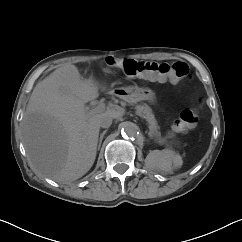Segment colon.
Here are the masks:
<instances>
[{"instance_id": "1", "label": "colon", "mask_w": 242, "mask_h": 242, "mask_svg": "<svg viewBox=\"0 0 242 242\" xmlns=\"http://www.w3.org/2000/svg\"><path fill=\"white\" fill-rule=\"evenodd\" d=\"M104 64L108 67L121 69L127 75L149 81L179 83L185 80L189 74V68L183 62L160 63L109 56L105 58ZM197 122L198 115L196 111L188 108L183 110L174 121L172 130L174 132H183L195 126Z\"/></svg>"}]
</instances>
